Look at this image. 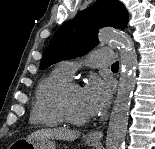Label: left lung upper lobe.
Segmentation results:
<instances>
[{
	"mask_svg": "<svg viewBox=\"0 0 155 149\" xmlns=\"http://www.w3.org/2000/svg\"><path fill=\"white\" fill-rule=\"evenodd\" d=\"M127 22L128 13L121 2L98 0L59 27L49 42L40 69L87 53L98 44V30L101 27L123 29Z\"/></svg>",
	"mask_w": 155,
	"mask_h": 149,
	"instance_id": "obj_1",
	"label": "left lung upper lobe"
}]
</instances>
